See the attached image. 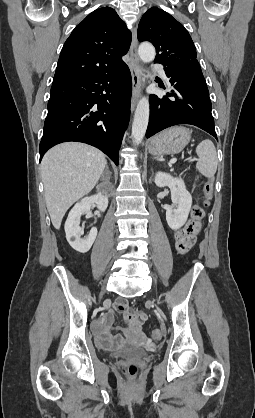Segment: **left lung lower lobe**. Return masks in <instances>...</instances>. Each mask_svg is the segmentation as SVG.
<instances>
[{
    "instance_id": "left-lung-lower-lobe-1",
    "label": "left lung lower lobe",
    "mask_w": 255,
    "mask_h": 418,
    "mask_svg": "<svg viewBox=\"0 0 255 418\" xmlns=\"http://www.w3.org/2000/svg\"><path fill=\"white\" fill-rule=\"evenodd\" d=\"M173 90L166 96H150L149 138L177 124H192L217 139L211 101L206 81L198 62L164 67Z\"/></svg>"
}]
</instances>
